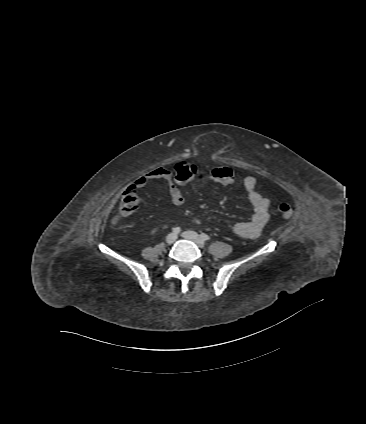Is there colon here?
<instances>
[{
	"label": "colon",
	"mask_w": 366,
	"mask_h": 424,
	"mask_svg": "<svg viewBox=\"0 0 366 424\" xmlns=\"http://www.w3.org/2000/svg\"><path fill=\"white\" fill-rule=\"evenodd\" d=\"M220 167L211 168L207 173L201 172L198 166L195 164L180 161L174 166V175L177 182L181 184L188 183L192 180H201L205 177L214 181L219 180L223 183H231L234 179L233 171L226 172L219 170ZM138 206V198L134 189L127 190L121 199V203L118 208L117 221L120 218L131 215L136 211ZM280 216L284 220H288L292 215V208L287 203H281L278 207Z\"/></svg>",
	"instance_id": "1"
}]
</instances>
